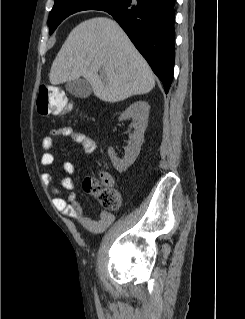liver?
<instances>
[{
  "label": "liver",
  "mask_w": 245,
  "mask_h": 319,
  "mask_svg": "<svg viewBox=\"0 0 245 319\" xmlns=\"http://www.w3.org/2000/svg\"><path fill=\"white\" fill-rule=\"evenodd\" d=\"M100 70L103 73L98 75ZM80 77L91 85L97 98L112 103L155 87L146 60L118 23L107 17H93L77 25L52 63L51 84Z\"/></svg>",
  "instance_id": "1"
}]
</instances>
